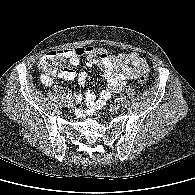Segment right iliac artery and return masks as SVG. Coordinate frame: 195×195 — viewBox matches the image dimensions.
I'll return each mask as SVG.
<instances>
[{"label":"right iliac artery","mask_w":195,"mask_h":195,"mask_svg":"<svg viewBox=\"0 0 195 195\" xmlns=\"http://www.w3.org/2000/svg\"><path fill=\"white\" fill-rule=\"evenodd\" d=\"M67 98H68L69 100L72 99V98H73L72 94H68V95H67Z\"/></svg>","instance_id":"1"}]
</instances>
